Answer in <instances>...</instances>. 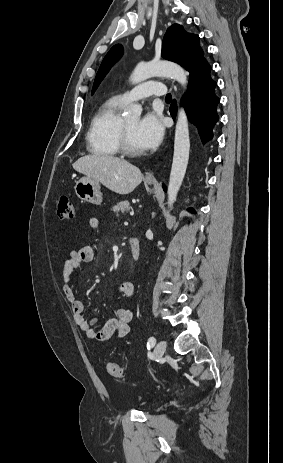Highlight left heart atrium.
<instances>
[{
  "label": "left heart atrium",
  "mask_w": 283,
  "mask_h": 463,
  "mask_svg": "<svg viewBox=\"0 0 283 463\" xmlns=\"http://www.w3.org/2000/svg\"><path fill=\"white\" fill-rule=\"evenodd\" d=\"M164 135V126L159 115L148 113L135 128V139L142 150L156 148Z\"/></svg>",
  "instance_id": "1"
}]
</instances>
